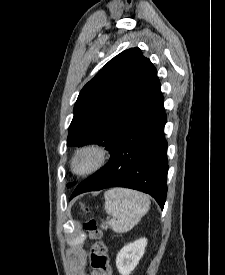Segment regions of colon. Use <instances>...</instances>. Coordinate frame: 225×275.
Wrapping results in <instances>:
<instances>
[{
	"instance_id": "5ec220e1",
	"label": "colon",
	"mask_w": 225,
	"mask_h": 275,
	"mask_svg": "<svg viewBox=\"0 0 225 275\" xmlns=\"http://www.w3.org/2000/svg\"><path fill=\"white\" fill-rule=\"evenodd\" d=\"M87 210V208H85ZM84 232L92 241L90 260L92 268L98 275H112V266L107 254V247L103 242V234L98 222L93 218H87L82 224Z\"/></svg>"
}]
</instances>
